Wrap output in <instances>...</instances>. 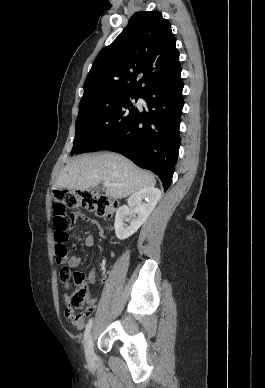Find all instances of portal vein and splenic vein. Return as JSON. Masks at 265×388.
Returning a JSON list of instances; mask_svg holds the SVG:
<instances>
[{
    "instance_id": "1",
    "label": "portal vein and splenic vein",
    "mask_w": 265,
    "mask_h": 388,
    "mask_svg": "<svg viewBox=\"0 0 265 388\" xmlns=\"http://www.w3.org/2000/svg\"><path fill=\"white\" fill-rule=\"evenodd\" d=\"M105 188H109V186H118V184H110V182H104Z\"/></svg>"
}]
</instances>
